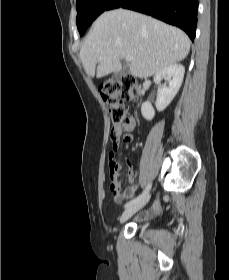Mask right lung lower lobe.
I'll use <instances>...</instances> for the list:
<instances>
[{"mask_svg": "<svg viewBox=\"0 0 229 280\" xmlns=\"http://www.w3.org/2000/svg\"><path fill=\"white\" fill-rule=\"evenodd\" d=\"M115 8L151 15L181 28L192 41L195 38L198 0H115L109 10Z\"/></svg>", "mask_w": 229, "mask_h": 280, "instance_id": "1", "label": "right lung lower lobe"}]
</instances>
